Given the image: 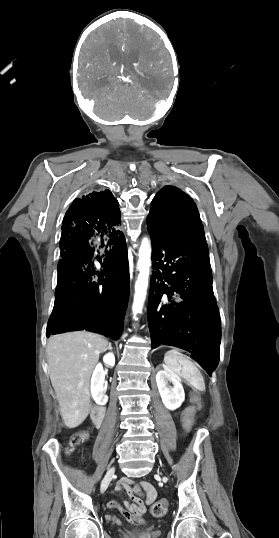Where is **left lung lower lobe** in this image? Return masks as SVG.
<instances>
[{
	"mask_svg": "<svg viewBox=\"0 0 279 538\" xmlns=\"http://www.w3.org/2000/svg\"><path fill=\"white\" fill-rule=\"evenodd\" d=\"M151 239L155 271L148 324L152 348L170 345L189 351L211 376L219 363L221 325L208 248Z\"/></svg>",
	"mask_w": 279,
	"mask_h": 538,
	"instance_id": "obj_1",
	"label": "left lung lower lobe"
}]
</instances>
